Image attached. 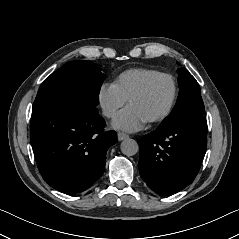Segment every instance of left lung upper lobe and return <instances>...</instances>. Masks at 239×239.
Wrapping results in <instances>:
<instances>
[{
	"instance_id": "left-lung-upper-lobe-1",
	"label": "left lung upper lobe",
	"mask_w": 239,
	"mask_h": 239,
	"mask_svg": "<svg viewBox=\"0 0 239 239\" xmlns=\"http://www.w3.org/2000/svg\"><path fill=\"white\" fill-rule=\"evenodd\" d=\"M177 73L179 96L172 112L163 120L159 128L166 127L187 115L205 114L200 87L196 79L185 68H179Z\"/></svg>"
}]
</instances>
